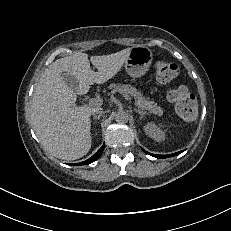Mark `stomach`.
Segmentation results:
<instances>
[{
  "mask_svg": "<svg viewBox=\"0 0 231 231\" xmlns=\"http://www.w3.org/2000/svg\"><path fill=\"white\" fill-rule=\"evenodd\" d=\"M152 59L153 53L148 47H132L124 64L125 70L132 78H140L149 70Z\"/></svg>",
  "mask_w": 231,
  "mask_h": 231,
  "instance_id": "0dacf381",
  "label": "stomach"
}]
</instances>
